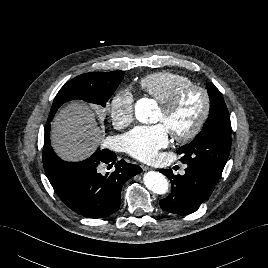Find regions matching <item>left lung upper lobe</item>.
<instances>
[{"label": "left lung upper lobe", "mask_w": 268, "mask_h": 268, "mask_svg": "<svg viewBox=\"0 0 268 268\" xmlns=\"http://www.w3.org/2000/svg\"><path fill=\"white\" fill-rule=\"evenodd\" d=\"M210 113L202 131L189 144L180 147V161L200 166L220 177L228 160L231 147V122L221 92L208 84Z\"/></svg>", "instance_id": "obj_1"}]
</instances>
